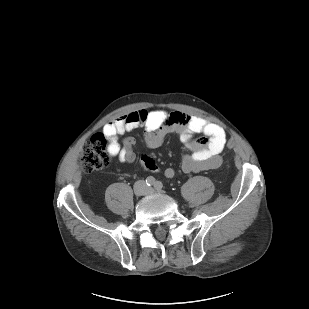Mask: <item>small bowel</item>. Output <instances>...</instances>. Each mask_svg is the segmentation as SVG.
<instances>
[{
	"instance_id": "c3829d8e",
	"label": "small bowel",
	"mask_w": 309,
	"mask_h": 309,
	"mask_svg": "<svg viewBox=\"0 0 309 309\" xmlns=\"http://www.w3.org/2000/svg\"><path fill=\"white\" fill-rule=\"evenodd\" d=\"M137 128L145 129V143L150 148L159 147L168 135L178 134L181 143L191 152L181 161V169L185 173L213 170L222 164L221 153L226 143L223 128L201 117L179 111L140 109L107 123L103 134L109 142L107 150L110 156L118 157L126 163L135 162V139L127 136L120 144L118 136ZM197 134H202L203 137L194 139ZM142 163L148 171L156 172L159 169L150 157H144ZM164 174L167 178H172L175 170L166 168Z\"/></svg>"
}]
</instances>
